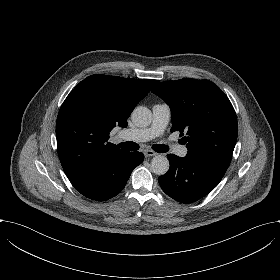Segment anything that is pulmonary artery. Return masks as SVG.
I'll list each match as a JSON object with an SVG mask.
<instances>
[{"mask_svg":"<svg viewBox=\"0 0 280 280\" xmlns=\"http://www.w3.org/2000/svg\"><path fill=\"white\" fill-rule=\"evenodd\" d=\"M171 116V108L166 103L155 104L152 107V120L149 127L127 129L124 132L132 135L137 140L145 142L156 137H160L164 134ZM174 152L179 157H185L188 153V149L185 145H179L174 147Z\"/></svg>","mask_w":280,"mask_h":280,"instance_id":"1","label":"pulmonary artery"}]
</instances>
